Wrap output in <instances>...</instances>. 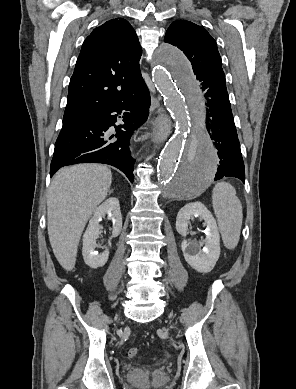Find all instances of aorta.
<instances>
[{"label": "aorta", "instance_id": "1", "mask_svg": "<svg viewBox=\"0 0 296 389\" xmlns=\"http://www.w3.org/2000/svg\"><path fill=\"white\" fill-rule=\"evenodd\" d=\"M153 81L175 121V133L158 161V179L171 196L198 195L218 167L217 152L199 119L207 100L203 83L195 80L185 55L170 44L157 50ZM191 122L194 130H190Z\"/></svg>", "mask_w": 296, "mask_h": 389}]
</instances>
